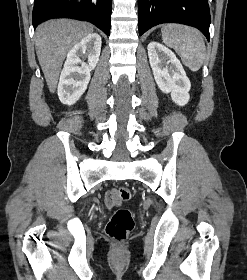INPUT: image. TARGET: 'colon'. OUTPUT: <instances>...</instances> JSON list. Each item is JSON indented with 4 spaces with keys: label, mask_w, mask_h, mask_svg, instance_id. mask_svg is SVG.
I'll return each instance as SVG.
<instances>
[{
    "label": "colon",
    "mask_w": 247,
    "mask_h": 280,
    "mask_svg": "<svg viewBox=\"0 0 247 280\" xmlns=\"http://www.w3.org/2000/svg\"><path fill=\"white\" fill-rule=\"evenodd\" d=\"M131 198V192L126 187L114 190V199L119 203L128 201ZM134 215L126 208H119L114 211L106 224V234L113 240L124 241L134 229Z\"/></svg>",
    "instance_id": "colon-1"
}]
</instances>
